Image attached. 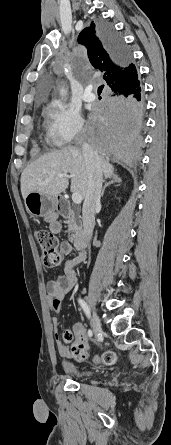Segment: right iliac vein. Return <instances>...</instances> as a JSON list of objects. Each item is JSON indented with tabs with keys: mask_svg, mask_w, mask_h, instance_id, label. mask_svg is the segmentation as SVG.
<instances>
[{
	"mask_svg": "<svg viewBox=\"0 0 171 445\" xmlns=\"http://www.w3.org/2000/svg\"><path fill=\"white\" fill-rule=\"evenodd\" d=\"M91 325L95 336L102 333L101 323L95 310H92Z\"/></svg>",
	"mask_w": 171,
	"mask_h": 445,
	"instance_id": "obj_1",
	"label": "right iliac vein"
}]
</instances>
